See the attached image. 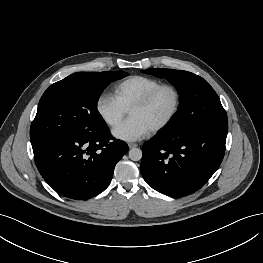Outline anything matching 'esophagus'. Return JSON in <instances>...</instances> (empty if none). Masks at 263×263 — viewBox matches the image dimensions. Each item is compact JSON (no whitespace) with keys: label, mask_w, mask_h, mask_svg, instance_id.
I'll use <instances>...</instances> for the list:
<instances>
[{"label":"esophagus","mask_w":263,"mask_h":263,"mask_svg":"<svg viewBox=\"0 0 263 263\" xmlns=\"http://www.w3.org/2000/svg\"><path fill=\"white\" fill-rule=\"evenodd\" d=\"M129 148H135L138 146L136 143H128Z\"/></svg>","instance_id":"1"}]
</instances>
